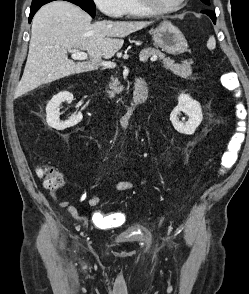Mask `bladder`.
Masks as SVG:
<instances>
[{"instance_id": "31cf9c89", "label": "bladder", "mask_w": 249, "mask_h": 294, "mask_svg": "<svg viewBox=\"0 0 249 294\" xmlns=\"http://www.w3.org/2000/svg\"><path fill=\"white\" fill-rule=\"evenodd\" d=\"M149 237L150 233L146 228L140 225H135L119 235L116 240L121 244H128L148 241Z\"/></svg>"}]
</instances>
